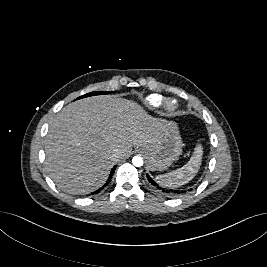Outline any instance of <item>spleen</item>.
I'll return each instance as SVG.
<instances>
[{"mask_svg":"<svg viewBox=\"0 0 267 267\" xmlns=\"http://www.w3.org/2000/svg\"><path fill=\"white\" fill-rule=\"evenodd\" d=\"M202 154L203 148L200 144H198L187 164L175 171L163 175H158L156 179L161 185L170 188H176L188 183L200 168Z\"/></svg>","mask_w":267,"mask_h":267,"instance_id":"spleen-1","label":"spleen"}]
</instances>
